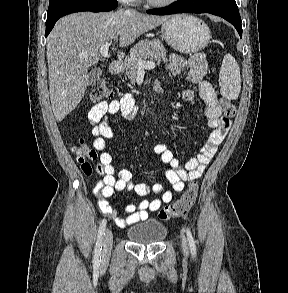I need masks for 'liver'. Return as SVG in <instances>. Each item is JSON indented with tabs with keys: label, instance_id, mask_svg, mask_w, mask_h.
Wrapping results in <instances>:
<instances>
[{
	"label": "liver",
	"instance_id": "obj_1",
	"mask_svg": "<svg viewBox=\"0 0 288 293\" xmlns=\"http://www.w3.org/2000/svg\"><path fill=\"white\" fill-rule=\"evenodd\" d=\"M168 16L132 10L74 13L61 18L47 38L49 94L53 114L62 121L82 100L88 69L98 63L100 48L114 40L131 45L140 35L164 23Z\"/></svg>",
	"mask_w": 288,
	"mask_h": 293
}]
</instances>
